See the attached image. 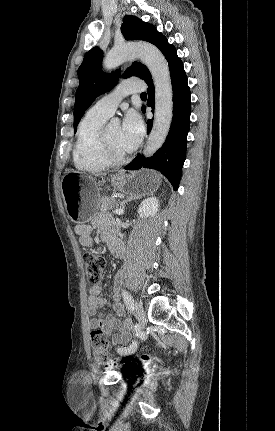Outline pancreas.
I'll return each instance as SVG.
<instances>
[{"label": "pancreas", "mask_w": 275, "mask_h": 431, "mask_svg": "<svg viewBox=\"0 0 275 431\" xmlns=\"http://www.w3.org/2000/svg\"><path fill=\"white\" fill-rule=\"evenodd\" d=\"M115 207H117V202L113 198H110L108 196H103L99 200V209L101 211V214L110 215L108 213V210L113 209Z\"/></svg>", "instance_id": "pancreas-1"}]
</instances>
